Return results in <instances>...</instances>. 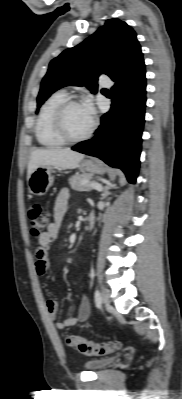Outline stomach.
<instances>
[{
	"label": "stomach",
	"mask_w": 182,
	"mask_h": 399,
	"mask_svg": "<svg viewBox=\"0 0 182 399\" xmlns=\"http://www.w3.org/2000/svg\"><path fill=\"white\" fill-rule=\"evenodd\" d=\"M61 168L52 165H41L37 167L28 179V188L31 194L35 196L45 195L53 185L55 170ZM79 169L89 174H103L106 169L97 159H85L79 164Z\"/></svg>",
	"instance_id": "1"
}]
</instances>
